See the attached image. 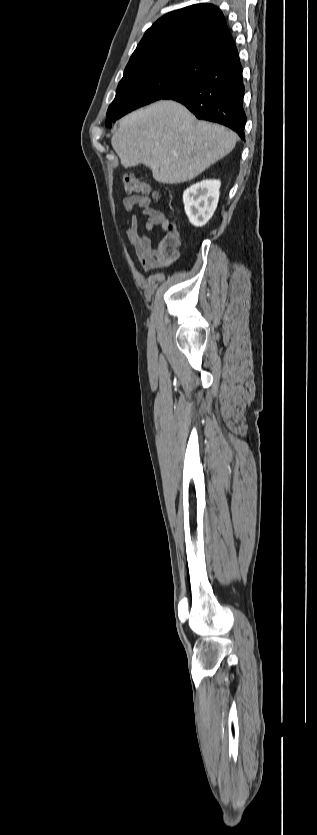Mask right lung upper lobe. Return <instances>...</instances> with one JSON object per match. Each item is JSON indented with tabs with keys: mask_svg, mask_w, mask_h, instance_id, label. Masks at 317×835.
Wrapping results in <instances>:
<instances>
[{
	"mask_svg": "<svg viewBox=\"0 0 317 835\" xmlns=\"http://www.w3.org/2000/svg\"><path fill=\"white\" fill-rule=\"evenodd\" d=\"M232 41L222 12L212 4H196L157 20L132 54L124 75L160 63L193 57Z\"/></svg>",
	"mask_w": 317,
	"mask_h": 835,
	"instance_id": "1",
	"label": "right lung upper lobe"
}]
</instances>
